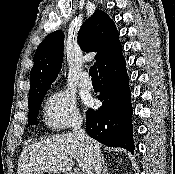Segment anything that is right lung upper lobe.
<instances>
[{"mask_svg":"<svg viewBox=\"0 0 175 174\" xmlns=\"http://www.w3.org/2000/svg\"><path fill=\"white\" fill-rule=\"evenodd\" d=\"M79 45L85 52H97L95 56L99 73L122 55V46L115 23L102 10H96L85 21L78 34ZM64 34H49L34 55L30 74L29 101L45 95L62 66Z\"/></svg>","mask_w":175,"mask_h":174,"instance_id":"right-lung-upper-lobe-1","label":"right lung upper lobe"}]
</instances>
